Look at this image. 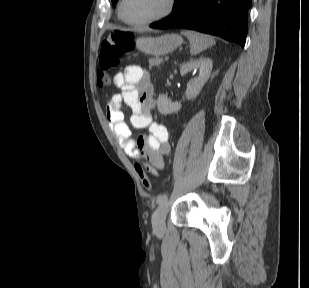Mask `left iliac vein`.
Here are the masks:
<instances>
[{
    "mask_svg": "<svg viewBox=\"0 0 309 288\" xmlns=\"http://www.w3.org/2000/svg\"><path fill=\"white\" fill-rule=\"evenodd\" d=\"M169 203L165 201L159 205L153 214L152 225L156 233H163L165 230V219L168 212Z\"/></svg>",
    "mask_w": 309,
    "mask_h": 288,
    "instance_id": "4c4485c4",
    "label": "left iliac vein"
}]
</instances>
